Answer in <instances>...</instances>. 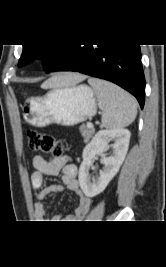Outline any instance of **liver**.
Segmentation results:
<instances>
[{"label":"liver","mask_w":166,"mask_h":267,"mask_svg":"<svg viewBox=\"0 0 166 267\" xmlns=\"http://www.w3.org/2000/svg\"><path fill=\"white\" fill-rule=\"evenodd\" d=\"M87 77L79 73H65L58 76H54L42 84V88H54V87H65V86H74Z\"/></svg>","instance_id":"liver-1"}]
</instances>
